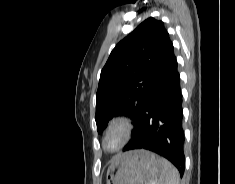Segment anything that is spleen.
Here are the masks:
<instances>
[{
	"label": "spleen",
	"instance_id": "1",
	"mask_svg": "<svg viewBox=\"0 0 235 184\" xmlns=\"http://www.w3.org/2000/svg\"><path fill=\"white\" fill-rule=\"evenodd\" d=\"M161 172L157 184H179L180 176L178 170L174 168L171 162L161 158Z\"/></svg>",
	"mask_w": 235,
	"mask_h": 184
}]
</instances>
